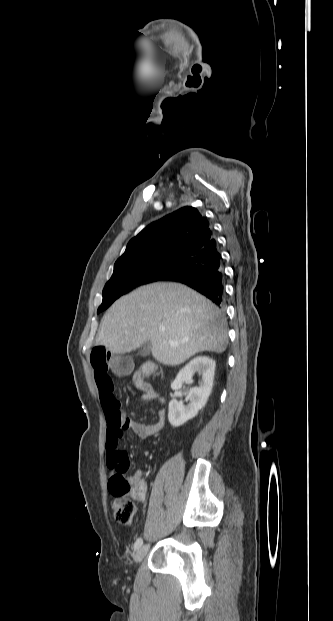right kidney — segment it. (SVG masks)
Segmentation results:
<instances>
[{"label":"right kidney","mask_w":333,"mask_h":621,"mask_svg":"<svg viewBox=\"0 0 333 621\" xmlns=\"http://www.w3.org/2000/svg\"><path fill=\"white\" fill-rule=\"evenodd\" d=\"M195 372L202 375L198 387L192 388L188 393L190 403L185 406L182 401L173 399L169 402L168 420L174 427L183 425L188 420L194 418L201 410L212 391L215 361L207 356H198L191 360L178 373L176 379L171 384L173 390H179L183 382H191Z\"/></svg>","instance_id":"right-kidney-1"}]
</instances>
